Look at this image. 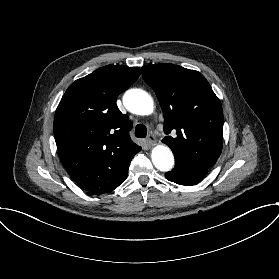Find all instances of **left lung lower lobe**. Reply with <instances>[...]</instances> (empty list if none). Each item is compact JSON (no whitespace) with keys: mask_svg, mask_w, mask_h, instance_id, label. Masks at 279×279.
I'll use <instances>...</instances> for the list:
<instances>
[{"mask_svg":"<svg viewBox=\"0 0 279 279\" xmlns=\"http://www.w3.org/2000/svg\"><path fill=\"white\" fill-rule=\"evenodd\" d=\"M208 173L183 164H175V168L167 172L165 177L167 180L185 186L195 185L200 182Z\"/></svg>","mask_w":279,"mask_h":279,"instance_id":"0a47b994","label":"left lung lower lobe"}]
</instances>
